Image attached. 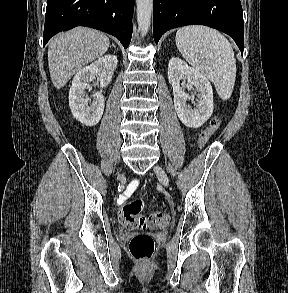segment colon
I'll return each mask as SVG.
<instances>
[{
    "instance_id": "obj_1",
    "label": "colon",
    "mask_w": 288,
    "mask_h": 293,
    "mask_svg": "<svg viewBox=\"0 0 288 293\" xmlns=\"http://www.w3.org/2000/svg\"><path fill=\"white\" fill-rule=\"evenodd\" d=\"M221 126L219 118H213L209 125L203 130L198 139L199 147H203L211 136L217 132ZM144 202L140 198L124 204L119 211V220L123 226L128 229L147 228L161 229L165 227L169 221V216L163 211H156L148 215L141 213ZM154 251V240L147 234H138L134 236L130 242V252L136 260H148Z\"/></svg>"
}]
</instances>
